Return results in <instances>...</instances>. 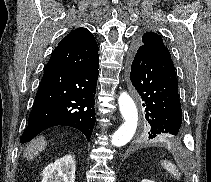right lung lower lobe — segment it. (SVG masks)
<instances>
[{
    "mask_svg": "<svg viewBox=\"0 0 211 182\" xmlns=\"http://www.w3.org/2000/svg\"><path fill=\"white\" fill-rule=\"evenodd\" d=\"M98 69V44L91 33L62 39L45 68L20 142L58 125L80 130L89 141L95 125Z\"/></svg>",
    "mask_w": 211,
    "mask_h": 182,
    "instance_id": "1",
    "label": "right lung lower lobe"
}]
</instances>
